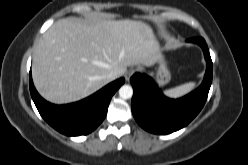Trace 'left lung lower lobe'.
I'll list each match as a JSON object with an SVG mask.
<instances>
[{"instance_id": "obj_1", "label": "left lung lower lobe", "mask_w": 248, "mask_h": 165, "mask_svg": "<svg viewBox=\"0 0 248 165\" xmlns=\"http://www.w3.org/2000/svg\"><path fill=\"white\" fill-rule=\"evenodd\" d=\"M203 49L206 74L199 88L180 99L165 97L157 84L146 74L135 73L130 82L134 89L131 108L137 123L154 134H169L185 127L203 108L212 83L213 66L202 37L190 38Z\"/></svg>"}]
</instances>
